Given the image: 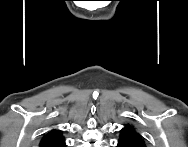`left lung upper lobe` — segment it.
<instances>
[{"instance_id": "1", "label": "left lung upper lobe", "mask_w": 188, "mask_h": 147, "mask_svg": "<svg viewBox=\"0 0 188 147\" xmlns=\"http://www.w3.org/2000/svg\"><path fill=\"white\" fill-rule=\"evenodd\" d=\"M120 147H145L144 138L137 132V130L130 124H126L120 131L118 141Z\"/></svg>"}]
</instances>
